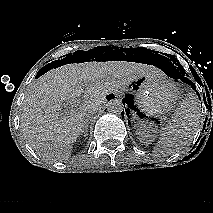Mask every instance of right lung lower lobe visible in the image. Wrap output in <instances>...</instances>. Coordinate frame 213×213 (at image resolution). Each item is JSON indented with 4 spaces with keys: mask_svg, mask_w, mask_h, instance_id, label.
<instances>
[{
    "mask_svg": "<svg viewBox=\"0 0 213 213\" xmlns=\"http://www.w3.org/2000/svg\"><path fill=\"white\" fill-rule=\"evenodd\" d=\"M52 63H56L57 64V62L55 61V62H52ZM49 65V64H48ZM47 65V66H48ZM47 66H45V67H43L41 70H39V72H38V74H37V76L36 77H39L40 75H42L43 73H44V71H45V69L47 68Z\"/></svg>",
    "mask_w": 213,
    "mask_h": 213,
    "instance_id": "obj_1",
    "label": "right lung lower lobe"
}]
</instances>
